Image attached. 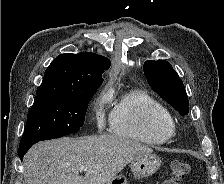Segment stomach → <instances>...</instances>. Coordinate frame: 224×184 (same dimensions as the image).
Segmentation results:
<instances>
[{"label": "stomach", "instance_id": "0dacf381", "mask_svg": "<svg viewBox=\"0 0 224 184\" xmlns=\"http://www.w3.org/2000/svg\"><path fill=\"white\" fill-rule=\"evenodd\" d=\"M160 165V158L157 155L150 154L132 161L131 171L135 178L141 179L155 173ZM106 184H128V182L125 176L117 175Z\"/></svg>", "mask_w": 224, "mask_h": 184}]
</instances>
